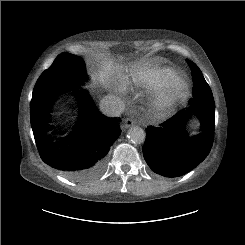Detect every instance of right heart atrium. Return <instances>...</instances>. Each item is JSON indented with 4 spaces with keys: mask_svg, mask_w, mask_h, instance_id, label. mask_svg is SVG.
I'll use <instances>...</instances> for the list:
<instances>
[{
    "mask_svg": "<svg viewBox=\"0 0 245 245\" xmlns=\"http://www.w3.org/2000/svg\"><path fill=\"white\" fill-rule=\"evenodd\" d=\"M114 91L117 94H123L126 92V85H125V81L122 78H119L116 82V85L114 87Z\"/></svg>",
    "mask_w": 245,
    "mask_h": 245,
    "instance_id": "d8ad5b80",
    "label": "right heart atrium"
}]
</instances>
